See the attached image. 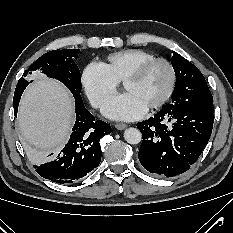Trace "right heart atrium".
<instances>
[{
    "label": "right heart atrium",
    "instance_id": "1",
    "mask_svg": "<svg viewBox=\"0 0 233 233\" xmlns=\"http://www.w3.org/2000/svg\"><path fill=\"white\" fill-rule=\"evenodd\" d=\"M82 86L91 104L100 108L118 90V82L102 63L92 62L83 70Z\"/></svg>",
    "mask_w": 233,
    "mask_h": 233
}]
</instances>
